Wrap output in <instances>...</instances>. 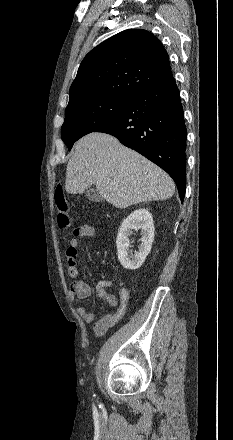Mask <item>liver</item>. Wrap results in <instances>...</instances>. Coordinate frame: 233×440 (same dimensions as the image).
Masks as SVG:
<instances>
[{"instance_id": "obj_1", "label": "liver", "mask_w": 233, "mask_h": 440, "mask_svg": "<svg viewBox=\"0 0 233 440\" xmlns=\"http://www.w3.org/2000/svg\"><path fill=\"white\" fill-rule=\"evenodd\" d=\"M74 149L66 171L68 193L81 194L95 184L108 203L123 209L166 200L175 192L174 181L165 171L109 134L89 133Z\"/></svg>"}]
</instances>
